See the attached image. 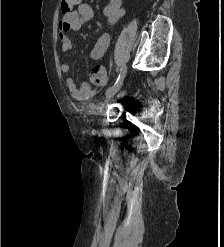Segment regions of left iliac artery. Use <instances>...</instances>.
<instances>
[{"label": "left iliac artery", "instance_id": "left-iliac-artery-1", "mask_svg": "<svg viewBox=\"0 0 224 247\" xmlns=\"http://www.w3.org/2000/svg\"><path fill=\"white\" fill-rule=\"evenodd\" d=\"M126 72H127V67L125 65H123L120 69V73L117 76L115 83H117L119 80L123 79L126 75Z\"/></svg>", "mask_w": 224, "mask_h": 247}]
</instances>
